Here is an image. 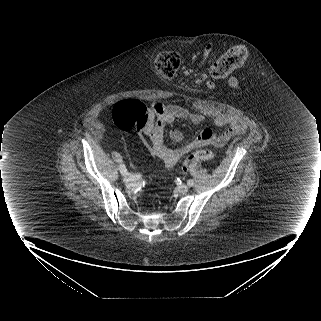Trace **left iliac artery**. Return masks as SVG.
<instances>
[{
    "mask_svg": "<svg viewBox=\"0 0 321 321\" xmlns=\"http://www.w3.org/2000/svg\"><path fill=\"white\" fill-rule=\"evenodd\" d=\"M187 184H188V186L191 187V186L194 185V181L190 179V180L187 181Z\"/></svg>",
    "mask_w": 321,
    "mask_h": 321,
    "instance_id": "obj_1",
    "label": "left iliac artery"
}]
</instances>
